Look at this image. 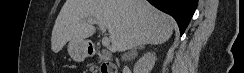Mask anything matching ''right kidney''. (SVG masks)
<instances>
[{
  "mask_svg": "<svg viewBox=\"0 0 244 73\" xmlns=\"http://www.w3.org/2000/svg\"><path fill=\"white\" fill-rule=\"evenodd\" d=\"M155 61L156 56L154 53L144 54L134 65V73H150Z\"/></svg>",
  "mask_w": 244,
  "mask_h": 73,
  "instance_id": "obj_1",
  "label": "right kidney"
}]
</instances>
